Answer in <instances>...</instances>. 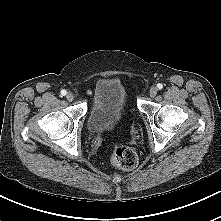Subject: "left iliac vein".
Wrapping results in <instances>:
<instances>
[{
	"label": "left iliac vein",
	"instance_id": "left-iliac-vein-1",
	"mask_svg": "<svg viewBox=\"0 0 221 221\" xmlns=\"http://www.w3.org/2000/svg\"><path fill=\"white\" fill-rule=\"evenodd\" d=\"M157 92H158V90L156 87H151V89L149 90L150 97H152V98L155 97L157 95Z\"/></svg>",
	"mask_w": 221,
	"mask_h": 221
}]
</instances>
